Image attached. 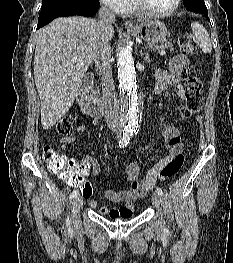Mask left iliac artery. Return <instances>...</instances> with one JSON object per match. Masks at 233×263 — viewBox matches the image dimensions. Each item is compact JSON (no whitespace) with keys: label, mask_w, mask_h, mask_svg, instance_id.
<instances>
[{"label":"left iliac artery","mask_w":233,"mask_h":263,"mask_svg":"<svg viewBox=\"0 0 233 263\" xmlns=\"http://www.w3.org/2000/svg\"><path fill=\"white\" fill-rule=\"evenodd\" d=\"M156 192L159 194V195H163V191L161 190V188H156Z\"/></svg>","instance_id":"44dca946"}]
</instances>
